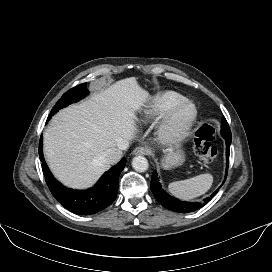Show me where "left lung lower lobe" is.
<instances>
[{
  "label": "left lung lower lobe",
  "mask_w": 272,
  "mask_h": 272,
  "mask_svg": "<svg viewBox=\"0 0 272 272\" xmlns=\"http://www.w3.org/2000/svg\"><path fill=\"white\" fill-rule=\"evenodd\" d=\"M223 138L226 140V176L228 172V162H229V151H230V144H231V135H228L226 133L222 134ZM225 176V179H226ZM224 183V182H223ZM150 187L152 190V193L156 200L165 208L179 212V213H189L196 211L203 207L205 204H207L212 197L217 193L218 190H216L211 196L206 197L200 202H186V201H180L169 194H167L163 189L162 186L159 183V178L157 176V172L154 171L150 183Z\"/></svg>",
  "instance_id": "obj_1"
}]
</instances>
